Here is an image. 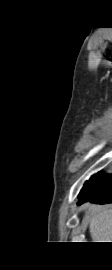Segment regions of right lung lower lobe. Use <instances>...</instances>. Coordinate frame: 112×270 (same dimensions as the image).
Masks as SVG:
<instances>
[{"mask_svg": "<svg viewBox=\"0 0 112 270\" xmlns=\"http://www.w3.org/2000/svg\"><path fill=\"white\" fill-rule=\"evenodd\" d=\"M78 205L91 202L98 204L112 203V175L99 172L86 181Z\"/></svg>", "mask_w": 112, "mask_h": 270, "instance_id": "obj_1", "label": "right lung lower lobe"}]
</instances>
